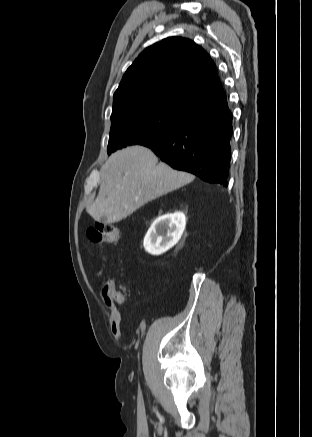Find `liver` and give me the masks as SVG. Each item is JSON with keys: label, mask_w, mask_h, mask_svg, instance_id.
<instances>
[{"label": "liver", "mask_w": 312, "mask_h": 437, "mask_svg": "<svg viewBox=\"0 0 312 437\" xmlns=\"http://www.w3.org/2000/svg\"><path fill=\"white\" fill-rule=\"evenodd\" d=\"M194 178L159 162L149 148L130 146L110 156L98 196L87 212L95 221L116 223Z\"/></svg>", "instance_id": "6515ba94"}]
</instances>
